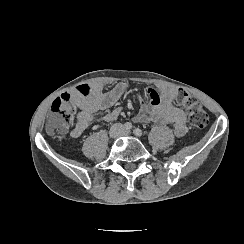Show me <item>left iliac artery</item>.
<instances>
[{"mask_svg":"<svg viewBox=\"0 0 244 244\" xmlns=\"http://www.w3.org/2000/svg\"><path fill=\"white\" fill-rule=\"evenodd\" d=\"M133 133L136 135V136H142L143 132L140 128H135Z\"/></svg>","mask_w":244,"mask_h":244,"instance_id":"1","label":"left iliac artery"}]
</instances>
